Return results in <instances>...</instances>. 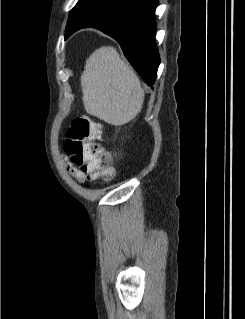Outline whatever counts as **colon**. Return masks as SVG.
<instances>
[{"label":"colon","mask_w":245,"mask_h":319,"mask_svg":"<svg viewBox=\"0 0 245 319\" xmlns=\"http://www.w3.org/2000/svg\"><path fill=\"white\" fill-rule=\"evenodd\" d=\"M101 137V125L85 116L74 118L66 134V154L91 181H107L114 174L111 155L98 142Z\"/></svg>","instance_id":"obj_1"}]
</instances>
